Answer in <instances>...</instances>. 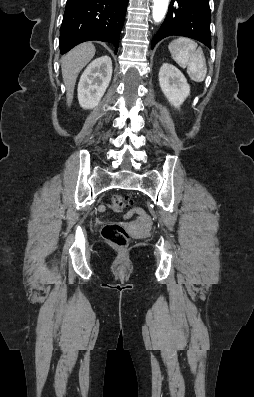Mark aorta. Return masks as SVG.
<instances>
[{
  "label": "aorta",
  "instance_id": "762f6f07",
  "mask_svg": "<svg viewBox=\"0 0 254 397\" xmlns=\"http://www.w3.org/2000/svg\"><path fill=\"white\" fill-rule=\"evenodd\" d=\"M153 3V20L155 22H160L167 12L169 0H153Z\"/></svg>",
  "mask_w": 254,
  "mask_h": 397
}]
</instances>
